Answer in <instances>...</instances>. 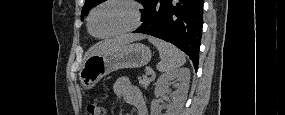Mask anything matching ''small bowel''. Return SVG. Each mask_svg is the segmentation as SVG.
<instances>
[{"instance_id":"small-bowel-1","label":"small bowel","mask_w":285,"mask_h":115,"mask_svg":"<svg viewBox=\"0 0 285 115\" xmlns=\"http://www.w3.org/2000/svg\"><path fill=\"white\" fill-rule=\"evenodd\" d=\"M112 91L135 109V115H147L143 94L127 78H117L112 84Z\"/></svg>"}]
</instances>
